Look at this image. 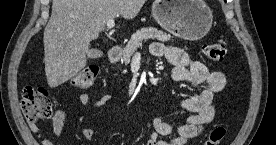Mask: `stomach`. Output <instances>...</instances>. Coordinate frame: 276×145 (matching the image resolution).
Wrapping results in <instances>:
<instances>
[{"instance_id":"obj_1","label":"stomach","mask_w":276,"mask_h":145,"mask_svg":"<svg viewBox=\"0 0 276 145\" xmlns=\"http://www.w3.org/2000/svg\"><path fill=\"white\" fill-rule=\"evenodd\" d=\"M152 16L172 35L190 41L203 38L213 22L212 11L203 0H155Z\"/></svg>"}]
</instances>
